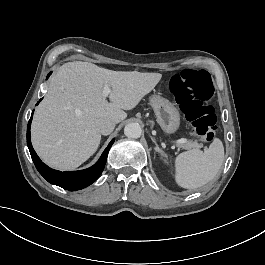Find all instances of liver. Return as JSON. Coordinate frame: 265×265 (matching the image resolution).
I'll return each mask as SVG.
<instances>
[{"mask_svg": "<svg viewBox=\"0 0 265 265\" xmlns=\"http://www.w3.org/2000/svg\"><path fill=\"white\" fill-rule=\"evenodd\" d=\"M160 73L113 71L88 62H68L53 75L37 107L31 140L49 167L74 170L98 149V119L119 123L160 81ZM104 85L112 88L108 102Z\"/></svg>", "mask_w": 265, "mask_h": 265, "instance_id": "1", "label": "liver"}]
</instances>
